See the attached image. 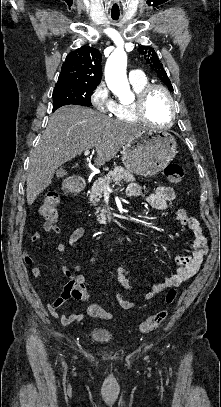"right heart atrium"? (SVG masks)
Segmentation results:
<instances>
[{"label": "right heart atrium", "instance_id": "1", "mask_svg": "<svg viewBox=\"0 0 221 407\" xmlns=\"http://www.w3.org/2000/svg\"><path fill=\"white\" fill-rule=\"evenodd\" d=\"M93 107L102 113H112L116 102L104 82L99 83L90 95Z\"/></svg>", "mask_w": 221, "mask_h": 407}]
</instances>
